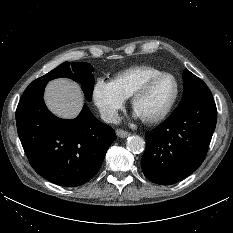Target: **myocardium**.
<instances>
[{
  "label": "myocardium",
  "mask_w": 233,
  "mask_h": 233,
  "mask_svg": "<svg viewBox=\"0 0 233 233\" xmlns=\"http://www.w3.org/2000/svg\"><path fill=\"white\" fill-rule=\"evenodd\" d=\"M164 77H170L172 78V80L174 81L175 84V91L173 94L172 99L170 100V102L168 103V105L166 106V108L158 115L154 116V117H150V118H140V120L147 125H154V124H158L160 122H162L164 119L167 118V116L171 113V111L173 110L178 97H179V93H180V85L179 82L177 80V78L168 72H161L159 74L153 75L149 78H147L136 90L135 92L132 94V96L130 97V106L132 111L134 112V108L135 105L137 103V101L143 97L148 90L151 88V86L158 81L161 78Z\"/></svg>",
  "instance_id": "1"
}]
</instances>
